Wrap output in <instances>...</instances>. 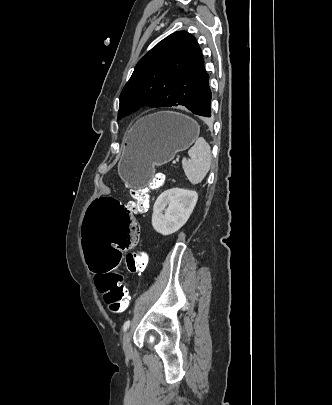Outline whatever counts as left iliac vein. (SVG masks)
<instances>
[{"label": "left iliac vein", "mask_w": 332, "mask_h": 405, "mask_svg": "<svg viewBox=\"0 0 332 405\" xmlns=\"http://www.w3.org/2000/svg\"><path fill=\"white\" fill-rule=\"evenodd\" d=\"M122 345H123V351L126 356H131L132 355V345L130 342V333L125 332L122 338Z\"/></svg>", "instance_id": "obj_1"}]
</instances>
